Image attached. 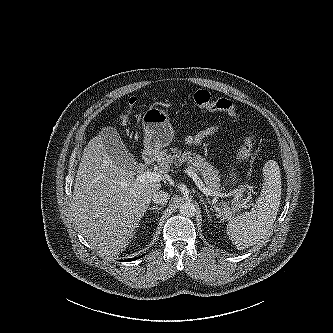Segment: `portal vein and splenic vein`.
<instances>
[{
    "label": "portal vein and splenic vein",
    "instance_id": "portal-vein-and-splenic-vein-1",
    "mask_svg": "<svg viewBox=\"0 0 333 333\" xmlns=\"http://www.w3.org/2000/svg\"><path fill=\"white\" fill-rule=\"evenodd\" d=\"M184 171L193 179V181L198 186V188L203 192V194H205L206 196H215L216 198L218 196H220L219 192L213 191L204 185V183L202 182V180L200 179V177L198 176V174L196 172L197 170L194 167H192V166L184 167ZM163 179H164V175H163V172H161V171L160 172L146 171V172H143L136 176V180L140 181V182L158 183V182L162 181ZM240 192H241L240 189H236L232 193L235 194V198L238 199L241 196ZM216 201L217 200L215 199L214 202L216 203ZM238 207L246 209L248 206L246 205V201H241L239 203ZM232 210L235 211L236 209L233 208Z\"/></svg>",
    "mask_w": 333,
    "mask_h": 333
}]
</instances>
